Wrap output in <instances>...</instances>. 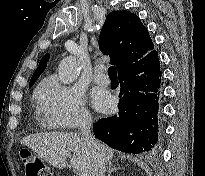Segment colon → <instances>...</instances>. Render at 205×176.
<instances>
[{
  "label": "colon",
  "instance_id": "1",
  "mask_svg": "<svg viewBox=\"0 0 205 176\" xmlns=\"http://www.w3.org/2000/svg\"><path fill=\"white\" fill-rule=\"evenodd\" d=\"M23 162L26 168V176H52L50 168L45 166L33 153H24Z\"/></svg>",
  "mask_w": 205,
  "mask_h": 176
}]
</instances>
